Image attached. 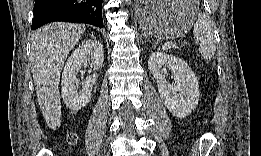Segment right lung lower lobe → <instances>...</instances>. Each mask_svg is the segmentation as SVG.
I'll return each mask as SVG.
<instances>
[{
  "label": "right lung lower lobe",
  "instance_id": "98d812e1",
  "mask_svg": "<svg viewBox=\"0 0 261 156\" xmlns=\"http://www.w3.org/2000/svg\"><path fill=\"white\" fill-rule=\"evenodd\" d=\"M52 21L82 22L103 28L102 0H35L31 29Z\"/></svg>",
  "mask_w": 261,
  "mask_h": 156
}]
</instances>
